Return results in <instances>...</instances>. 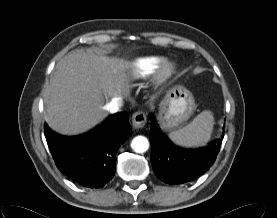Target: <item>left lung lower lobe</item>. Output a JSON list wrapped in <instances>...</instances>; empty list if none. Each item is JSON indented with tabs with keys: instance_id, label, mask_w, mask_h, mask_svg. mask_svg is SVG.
Wrapping results in <instances>:
<instances>
[{
	"instance_id": "left-lung-lower-lobe-1",
	"label": "left lung lower lobe",
	"mask_w": 277,
	"mask_h": 218,
	"mask_svg": "<svg viewBox=\"0 0 277 218\" xmlns=\"http://www.w3.org/2000/svg\"><path fill=\"white\" fill-rule=\"evenodd\" d=\"M151 163L156 176L168 184L190 182L214 163L222 139L209 148L183 149L173 145L159 129L154 116L150 115ZM224 137L222 134L221 138Z\"/></svg>"
}]
</instances>
